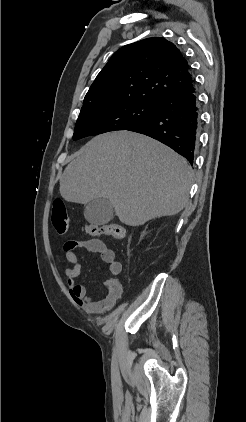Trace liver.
<instances>
[{
    "mask_svg": "<svg viewBox=\"0 0 246 422\" xmlns=\"http://www.w3.org/2000/svg\"><path fill=\"white\" fill-rule=\"evenodd\" d=\"M193 170L187 160L145 135L115 131L82 147L60 178L68 202L106 198L129 226L178 214L187 205Z\"/></svg>",
    "mask_w": 246,
    "mask_h": 422,
    "instance_id": "obj_1",
    "label": "liver"
}]
</instances>
